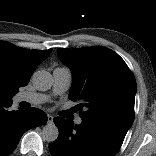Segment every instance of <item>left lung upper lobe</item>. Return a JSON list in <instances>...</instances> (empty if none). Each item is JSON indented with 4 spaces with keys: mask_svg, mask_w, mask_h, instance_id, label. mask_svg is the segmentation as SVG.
I'll return each mask as SVG.
<instances>
[{
    "mask_svg": "<svg viewBox=\"0 0 156 156\" xmlns=\"http://www.w3.org/2000/svg\"><path fill=\"white\" fill-rule=\"evenodd\" d=\"M72 71L71 100L86 121H110L129 129L134 120L136 81L124 60L106 47L57 50Z\"/></svg>",
    "mask_w": 156,
    "mask_h": 156,
    "instance_id": "1",
    "label": "left lung upper lobe"
}]
</instances>
